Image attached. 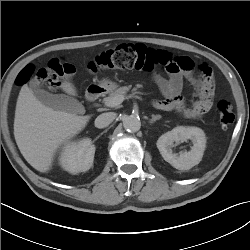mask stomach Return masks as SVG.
<instances>
[{
  "label": "stomach",
  "instance_id": "obj_1",
  "mask_svg": "<svg viewBox=\"0 0 250 250\" xmlns=\"http://www.w3.org/2000/svg\"><path fill=\"white\" fill-rule=\"evenodd\" d=\"M117 83L110 80V79H102L100 82H99V87L104 89L105 91L107 92H111L113 90H115L117 88Z\"/></svg>",
  "mask_w": 250,
  "mask_h": 250
}]
</instances>
